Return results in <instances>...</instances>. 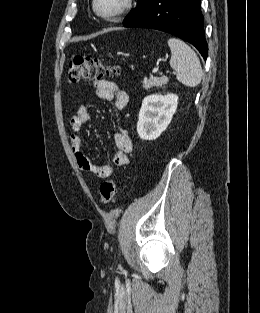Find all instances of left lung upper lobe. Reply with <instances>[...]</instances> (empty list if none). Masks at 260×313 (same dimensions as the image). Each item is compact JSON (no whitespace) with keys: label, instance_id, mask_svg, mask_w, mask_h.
I'll return each mask as SVG.
<instances>
[{"label":"left lung upper lobe","instance_id":"1","mask_svg":"<svg viewBox=\"0 0 260 313\" xmlns=\"http://www.w3.org/2000/svg\"><path fill=\"white\" fill-rule=\"evenodd\" d=\"M151 0H138L137 1V7L134 11L130 12L124 19V22H126L129 19H132L135 17L138 13H140L150 2Z\"/></svg>","mask_w":260,"mask_h":313}]
</instances>
